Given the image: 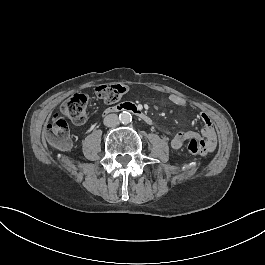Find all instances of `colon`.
Returning a JSON list of instances; mask_svg holds the SVG:
<instances>
[{"mask_svg":"<svg viewBox=\"0 0 265 265\" xmlns=\"http://www.w3.org/2000/svg\"><path fill=\"white\" fill-rule=\"evenodd\" d=\"M127 91L124 84L102 85L97 88L98 97L106 102L113 103L118 101ZM88 98L83 94H75L68 98L57 113L43 130L44 142L57 150H66L72 147V139L69 133L66 118L71 119L77 124H83L87 121ZM185 145V150L196 152L200 148L197 138L191 137Z\"/></svg>","mask_w":265,"mask_h":265,"instance_id":"obj_1","label":"colon"}]
</instances>
